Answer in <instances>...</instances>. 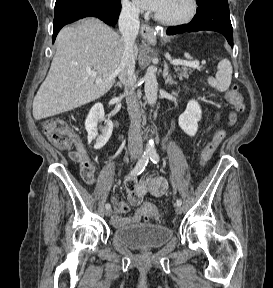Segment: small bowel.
<instances>
[{
    "instance_id": "c3829d8e",
    "label": "small bowel",
    "mask_w": 273,
    "mask_h": 288,
    "mask_svg": "<svg viewBox=\"0 0 273 288\" xmlns=\"http://www.w3.org/2000/svg\"><path fill=\"white\" fill-rule=\"evenodd\" d=\"M219 118V114L215 119ZM236 121V114L231 112L228 117V124L232 125ZM71 158L80 165V174L86 184H93L95 182V166L91 155L85 149L83 144L79 141L76 142L75 149L70 153ZM135 175L127 176L125 179V188L128 193V202L131 206L135 207L134 214L129 216H121L129 210L128 204L125 202L112 200V205L115 215L111 221L116 227L128 224L139 223L144 215L140 204L146 194H151L155 197L163 196L168 190V181L160 176H146L137 180Z\"/></svg>"
}]
</instances>
